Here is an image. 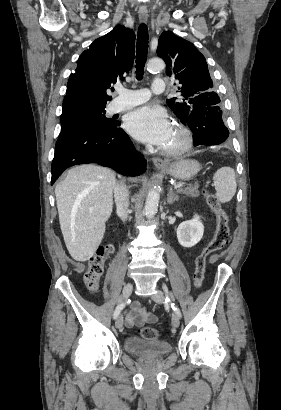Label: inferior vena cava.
<instances>
[{"label":"inferior vena cava","mask_w":281,"mask_h":410,"mask_svg":"<svg viewBox=\"0 0 281 410\" xmlns=\"http://www.w3.org/2000/svg\"><path fill=\"white\" fill-rule=\"evenodd\" d=\"M114 198L117 208V214L125 221L128 217L129 192L122 183H116L114 187Z\"/></svg>","instance_id":"1"}]
</instances>
